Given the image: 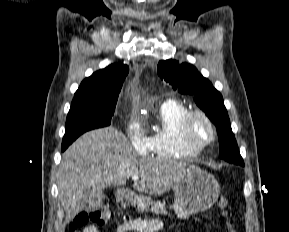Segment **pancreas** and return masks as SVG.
I'll return each instance as SVG.
<instances>
[{"instance_id":"pancreas-1","label":"pancreas","mask_w":289,"mask_h":232,"mask_svg":"<svg viewBox=\"0 0 289 232\" xmlns=\"http://www.w3.org/2000/svg\"><path fill=\"white\" fill-rule=\"evenodd\" d=\"M152 207L150 209V211L152 213H155V214H163V215H167V211L165 209V201L163 202H160V201H157V202H152Z\"/></svg>"}]
</instances>
